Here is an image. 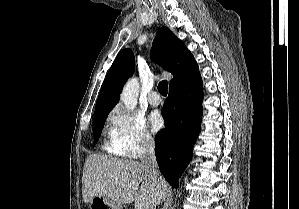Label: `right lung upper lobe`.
Instances as JSON below:
<instances>
[{
    "mask_svg": "<svg viewBox=\"0 0 299 209\" xmlns=\"http://www.w3.org/2000/svg\"><path fill=\"white\" fill-rule=\"evenodd\" d=\"M151 58L173 75L169 88L182 86L197 78L198 65L184 43L167 27L160 28L151 50ZM131 49L122 50L114 60L101 87L94 114L110 112L118 103L126 80L134 73Z\"/></svg>",
    "mask_w": 299,
    "mask_h": 209,
    "instance_id": "cb5924a9",
    "label": "right lung upper lobe"
}]
</instances>
